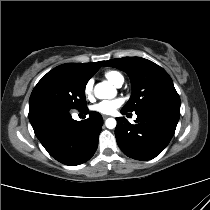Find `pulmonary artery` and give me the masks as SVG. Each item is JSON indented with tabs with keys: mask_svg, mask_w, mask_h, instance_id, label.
<instances>
[{
	"mask_svg": "<svg viewBox=\"0 0 210 210\" xmlns=\"http://www.w3.org/2000/svg\"><path fill=\"white\" fill-rule=\"evenodd\" d=\"M122 83H123V82L118 83V84H117V86H118V87H119V86H121V85H122Z\"/></svg>",
	"mask_w": 210,
	"mask_h": 210,
	"instance_id": "1",
	"label": "pulmonary artery"
}]
</instances>
